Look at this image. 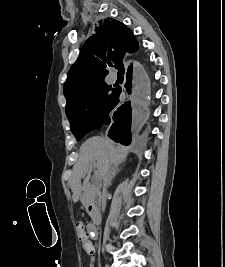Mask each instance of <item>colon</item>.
Returning <instances> with one entry per match:
<instances>
[{"mask_svg": "<svg viewBox=\"0 0 225 267\" xmlns=\"http://www.w3.org/2000/svg\"><path fill=\"white\" fill-rule=\"evenodd\" d=\"M77 230L79 233H81V238L83 239L82 247L85 250H89L90 249V244L86 241V236H85V232H84V225L82 222H78L77 223Z\"/></svg>", "mask_w": 225, "mask_h": 267, "instance_id": "colon-1", "label": "colon"}]
</instances>
